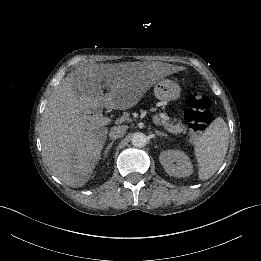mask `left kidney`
I'll list each match as a JSON object with an SVG mask.
<instances>
[{
  "label": "left kidney",
  "instance_id": "left-kidney-1",
  "mask_svg": "<svg viewBox=\"0 0 261 261\" xmlns=\"http://www.w3.org/2000/svg\"><path fill=\"white\" fill-rule=\"evenodd\" d=\"M159 161L169 176L185 177L192 173L190 160L178 150L161 152Z\"/></svg>",
  "mask_w": 261,
  "mask_h": 261
}]
</instances>
